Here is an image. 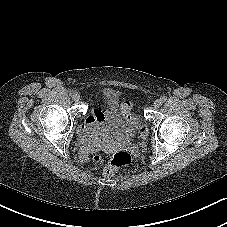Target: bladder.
I'll list each match as a JSON object with an SVG mask.
<instances>
[{"label":"bladder","mask_w":227,"mask_h":227,"mask_svg":"<svg viewBox=\"0 0 227 227\" xmlns=\"http://www.w3.org/2000/svg\"><path fill=\"white\" fill-rule=\"evenodd\" d=\"M99 109L109 115L104 124L102 139L110 143L133 140L140 127V119L130 107L124 108L121 96L117 92L112 90L104 92Z\"/></svg>","instance_id":"1"}]
</instances>
